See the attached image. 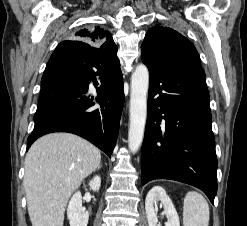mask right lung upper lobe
<instances>
[{
	"instance_id": "obj_1",
	"label": "right lung upper lobe",
	"mask_w": 247,
	"mask_h": 226,
	"mask_svg": "<svg viewBox=\"0 0 247 226\" xmlns=\"http://www.w3.org/2000/svg\"><path fill=\"white\" fill-rule=\"evenodd\" d=\"M74 39L102 49L113 50L116 48L111 34L108 31L96 26L83 28L77 31L74 34Z\"/></svg>"
}]
</instances>
